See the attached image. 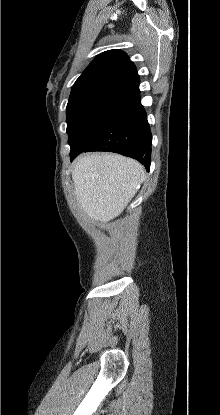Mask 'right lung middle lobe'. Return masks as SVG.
<instances>
[{
	"label": "right lung middle lobe",
	"mask_w": 220,
	"mask_h": 415,
	"mask_svg": "<svg viewBox=\"0 0 220 415\" xmlns=\"http://www.w3.org/2000/svg\"><path fill=\"white\" fill-rule=\"evenodd\" d=\"M138 92V87L114 78L74 85L66 110L71 149L84 148L110 116Z\"/></svg>",
	"instance_id": "1"
}]
</instances>
